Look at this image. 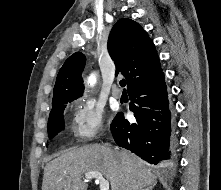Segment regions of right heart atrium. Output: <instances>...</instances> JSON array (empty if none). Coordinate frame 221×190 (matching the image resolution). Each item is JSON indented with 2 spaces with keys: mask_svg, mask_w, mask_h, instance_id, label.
I'll list each match as a JSON object with an SVG mask.
<instances>
[{
  "mask_svg": "<svg viewBox=\"0 0 221 190\" xmlns=\"http://www.w3.org/2000/svg\"><path fill=\"white\" fill-rule=\"evenodd\" d=\"M72 126L82 142L99 136L104 129V109L93 98L80 97L72 103Z\"/></svg>",
  "mask_w": 221,
  "mask_h": 190,
  "instance_id": "d8ad5b80",
  "label": "right heart atrium"
}]
</instances>
